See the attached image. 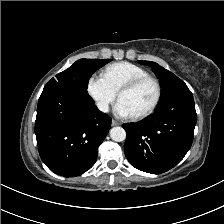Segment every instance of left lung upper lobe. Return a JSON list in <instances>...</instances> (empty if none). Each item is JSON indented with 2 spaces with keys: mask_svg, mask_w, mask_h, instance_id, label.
<instances>
[{
  "mask_svg": "<svg viewBox=\"0 0 224 224\" xmlns=\"http://www.w3.org/2000/svg\"><path fill=\"white\" fill-rule=\"evenodd\" d=\"M140 64L152 66L162 86V96L159 105L167 103L179 94L190 92L186 84L170 71L151 61H138Z\"/></svg>",
  "mask_w": 224,
  "mask_h": 224,
  "instance_id": "1",
  "label": "left lung upper lobe"
}]
</instances>
